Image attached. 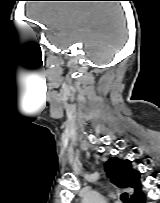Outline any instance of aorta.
<instances>
[{
    "mask_svg": "<svg viewBox=\"0 0 160 203\" xmlns=\"http://www.w3.org/2000/svg\"><path fill=\"white\" fill-rule=\"evenodd\" d=\"M82 203H105V201L97 191H88L84 194Z\"/></svg>",
    "mask_w": 160,
    "mask_h": 203,
    "instance_id": "762f6f07",
    "label": "aorta"
}]
</instances>
